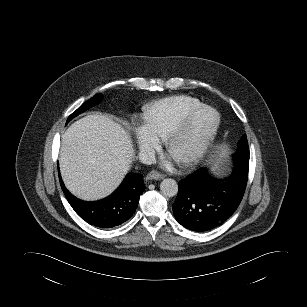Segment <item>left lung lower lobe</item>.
I'll return each instance as SVG.
<instances>
[{
    "mask_svg": "<svg viewBox=\"0 0 307 307\" xmlns=\"http://www.w3.org/2000/svg\"><path fill=\"white\" fill-rule=\"evenodd\" d=\"M230 177L219 180L199 169L179 183L173 213L179 224L195 232L222 225L238 208L247 185L249 159L235 156Z\"/></svg>",
    "mask_w": 307,
    "mask_h": 307,
    "instance_id": "1",
    "label": "left lung lower lobe"
}]
</instances>
